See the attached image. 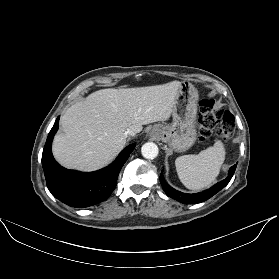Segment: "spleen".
<instances>
[{"mask_svg": "<svg viewBox=\"0 0 279 279\" xmlns=\"http://www.w3.org/2000/svg\"><path fill=\"white\" fill-rule=\"evenodd\" d=\"M225 160V148L218 140L213 146L199 154L183 155L175 160L177 174L181 182L191 190L203 189L219 175Z\"/></svg>", "mask_w": 279, "mask_h": 279, "instance_id": "1", "label": "spleen"}]
</instances>
